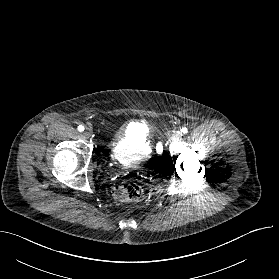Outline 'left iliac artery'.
I'll use <instances>...</instances> for the list:
<instances>
[{
  "mask_svg": "<svg viewBox=\"0 0 279 279\" xmlns=\"http://www.w3.org/2000/svg\"><path fill=\"white\" fill-rule=\"evenodd\" d=\"M181 132L185 134V133L188 132V129H187L186 127H183V128L181 129Z\"/></svg>",
  "mask_w": 279,
  "mask_h": 279,
  "instance_id": "obj_1",
  "label": "left iliac artery"
}]
</instances>
